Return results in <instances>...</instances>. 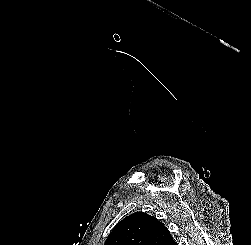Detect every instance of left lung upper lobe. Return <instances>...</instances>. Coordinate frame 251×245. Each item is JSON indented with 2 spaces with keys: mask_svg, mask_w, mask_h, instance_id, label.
Here are the masks:
<instances>
[{
  "mask_svg": "<svg viewBox=\"0 0 251 245\" xmlns=\"http://www.w3.org/2000/svg\"><path fill=\"white\" fill-rule=\"evenodd\" d=\"M104 245H177L168 229L155 217L135 212L121 220Z\"/></svg>",
  "mask_w": 251,
  "mask_h": 245,
  "instance_id": "1",
  "label": "left lung upper lobe"
}]
</instances>
